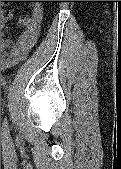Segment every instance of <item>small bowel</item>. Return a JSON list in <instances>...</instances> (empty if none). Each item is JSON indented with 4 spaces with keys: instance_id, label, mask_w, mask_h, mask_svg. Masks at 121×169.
Returning <instances> with one entry per match:
<instances>
[{
    "instance_id": "small-bowel-1",
    "label": "small bowel",
    "mask_w": 121,
    "mask_h": 169,
    "mask_svg": "<svg viewBox=\"0 0 121 169\" xmlns=\"http://www.w3.org/2000/svg\"><path fill=\"white\" fill-rule=\"evenodd\" d=\"M14 12H3L1 27L4 31L11 28L9 22L13 19ZM42 20V11L35 8L31 15L18 20L17 24L22 27L21 33L16 38L3 37L1 40V67L10 68L22 61L35 45Z\"/></svg>"
}]
</instances>
